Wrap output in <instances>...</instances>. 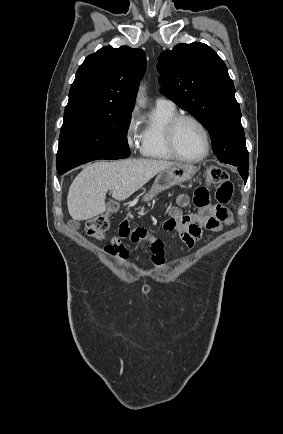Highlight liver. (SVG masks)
Segmentation results:
<instances>
[{"label": "liver", "mask_w": 283, "mask_h": 434, "mask_svg": "<svg viewBox=\"0 0 283 434\" xmlns=\"http://www.w3.org/2000/svg\"><path fill=\"white\" fill-rule=\"evenodd\" d=\"M175 162L150 159L97 161L85 167L70 185L67 206L73 220H88L106 210L108 190L123 201ZM118 186V188H116Z\"/></svg>", "instance_id": "liver-1"}]
</instances>
